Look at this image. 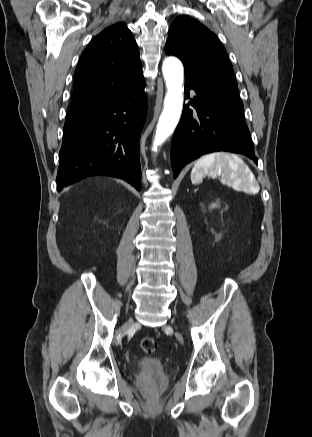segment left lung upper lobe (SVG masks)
Here are the masks:
<instances>
[{
    "mask_svg": "<svg viewBox=\"0 0 312 437\" xmlns=\"http://www.w3.org/2000/svg\"><path fill=\"white\" fill-rule=\"evenodd\" d=\"M165 51L182 60L185 80L201 91L223 99L244 117L233 67L214 33L196 20L180 16L169 29Z\"/></svg>",
    "mask_w": 312,
    "mask_h": 437,
    "instance_id": "obj_1",
    "label": "left lung upper lobe"
}]
</instances>
